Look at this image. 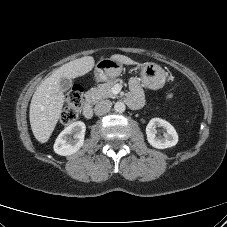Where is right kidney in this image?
<instances>
[{
	"label": "right kidney",
	"instance_id": "obj_1",
	"mask_svg": "<svg viewBox=\"0 0 227 227\" xmlns=\"http://www.w3.org/2000/svg\"><path fill=\"white\" fill-rule=\"evenodd\" d=\"M86 125L77 121L66 127L54 143L55 153L68 156L77 152L84 144Z\"/></svg>",
	"mask_w": 227,
	"mask_h": 227
}]
</instances>
